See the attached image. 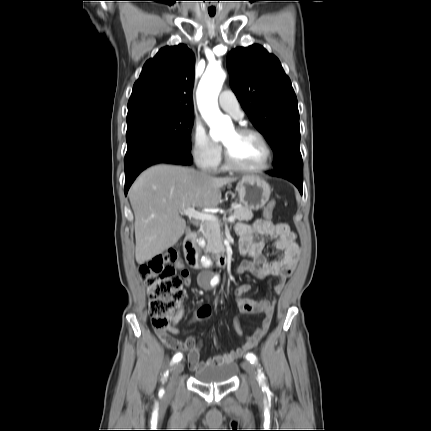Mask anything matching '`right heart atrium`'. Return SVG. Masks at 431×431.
<instances>
[{
	"mask_svg": "<svg viewBox=\"0 0 431 431\" xmlns=\"http://www.w3.org/2000/svg\"><path fill=\"white\" fill-rule=\"evenodd\" d=\"M190 150L202 169L214 170L222 157L221 146L213 141L200 123H195L190 135Z\"/></svg>",
	"mask_w": 431,
	"mask_h": 431,
	"instance_id": "1",
	"label": "right heart atrium"
}]
</instances>
